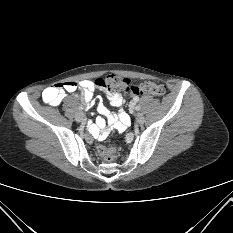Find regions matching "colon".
<instances>
[{
	"label": "colon",
	"instance_id": "1",
	"mask_svg": "<svg viewBox=\"0 0 233 233\" xmlns=\"http://www.w3.org/2000/svg\"><path fill=\"white\" fill-rule=\"evenodd\" d=\"M97 80L107 83L109 86L108 90L111 92H123L132 95L149 94L156 97L166 93V88L161 84L149 81L134 84L129 79L114 74L98 78ZM97 151L107 161H112L115 157V150L112 147L99 145Z\"/></svg>",
	"mask_w": 233,
	"mask_h": 233
}]
</instances>
